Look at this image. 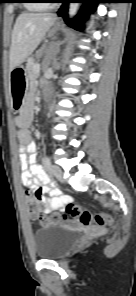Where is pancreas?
I'll return each mask as SVG.
<instances>
[{
  "instance_id": "obj_1",
  "label": "pancreas",
  "mask_w": 136,
  "mask_h": 296,
  "mask_svg": "<svg viewBox=\"0 0 136 296\" xmlns=\"http://www.w3.org/2000/svg\"><path fill=\"white\" fill-rule=\"evenodd\" d=\"M42 55V49L39 50L36 54L37 57H40ZM38 65L37 63H35V59L31 58L28 63H27V75L29 78H33V77H37V73L35 71V66Z\"/></svg>"
}]
</instances>
